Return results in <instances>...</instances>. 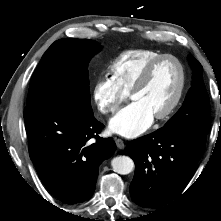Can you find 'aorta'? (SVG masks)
I'll return each mask as SVG.
<instances>
[{
	"label": "aorta",
	"instance_id": "762f6f07",
	"mask_svg": "<svg viewBox=\"0 0 221 221\" xmlns=\"http://www.w3.org/2000/svg\"><path fill=\"white\" fill-rule=\"evenodd\" d=\"M111 166L113 171L121 175H126L133 171L134 162L128 156H117L112 159Z\"/></svg>",
	"mask_w": 221,
	"mask_h": 221
}]
</instances>
